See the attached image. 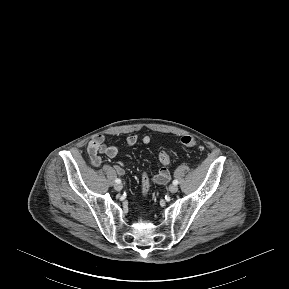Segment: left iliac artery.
Returning a JSON list of instances; mask_svg holds the SVG:
<instances>
[{
	"label": "left iliac artery",
	"mask_w": 289,
	"mask_h": 289,
	"mask_svg": "<svg viewBox=\"0 0 289 289\" xmlns=\"http://www.w3.org/2000/svg\"><path fill=\"white\" fill-rule=\"evenodd\" d=\"M173 184H174V185H177V184H178V180H174V181H173Z\"/></svg>",
	"instance_id": "left-iliac-artery-1"
}]
</instances>
